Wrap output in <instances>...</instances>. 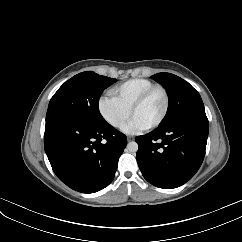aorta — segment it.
<instances>
[{
    "mask_svg": "<svg viewBox=\"0 0 242 242\" xmlns=\"http://www.w3.org/2000/svg\"><path fill=\"white\" fill-rule=\"evenodd\" d=\"M127 150L129 152H137V150H138V144L135 141L129 142L127 144Z\"/></svg>",
    "mask_w": 242,
    "mask_h": 242,
    "instance_id": "1",
    "label": "aorta"
}]
</instances>
